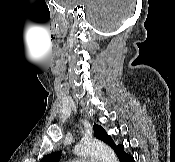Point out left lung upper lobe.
<instances>
[{"label":"left lung upper lobe","instance_id":"5c2ea615","mask_svg":"<svg viewBox=\"0 0 175 162\" xmlns=\"http://www.w3.org/2000/svg\"><path fill=\"white\" fill-rule=\"evenodd\" d=\"M93 129H94V136L97 139L107 143L111 147L114 145V141L112 140L111 136H109L101 126L94 124ZM60 156H61L60 151L53 152L51 154L44 156L40 162H57Z\"/></svg>","mask_w":175,"mask_h":162}]
</instances>
